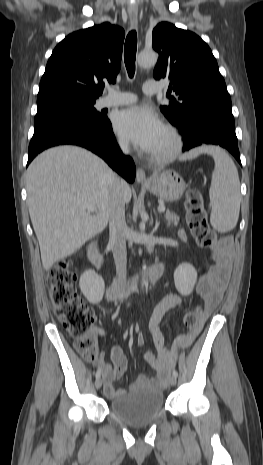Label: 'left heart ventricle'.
I'll return each mask as SVG.
<instances>
[{
  "label": "left heart ventricle",
  "instance_id": "1",
  "mask_svg": "<svg viewBox=\"0 0 263 465\" xmlns=\"http://www.w3.org/2000/svg\"><path fill=\"white\" fill-rule=\"evenodd\" d=\"M172 147V141L167 134V132L164 130L162 133L159 141L157 142L156 146L154 149L151 151L153 154H164L168 152Z\"/></svg>",
  "mask_w": 263,
  "mask_h": 465
}]
</instances>
